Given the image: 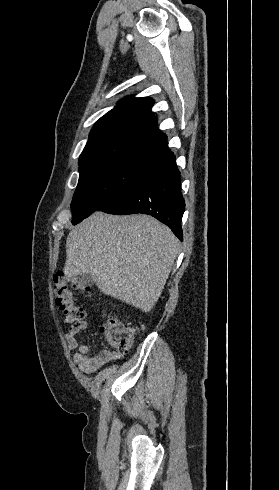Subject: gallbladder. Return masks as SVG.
<instances>
[{"label":"gallbladder","instance_id":"1","mask_svg":"<svg viewBox=\"0 0 279 490\" xmlns=\"http://www.w3.org/2000/svg\"><path fill=\"white\" fill-rule=\"evenodd\" d=\"M78 280L80 284H83V286H93L94 284V278H91L89 274H83V276H80Z\"/></svg>","mask_w":279,"mask_h":490}]
</instances>
